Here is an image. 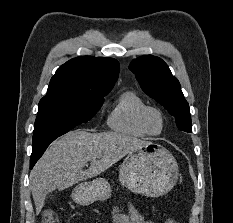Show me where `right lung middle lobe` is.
Here are the masks:
<instances>
[{
  "mask_svg": "<svg viewBox=\"0 0 233 223\" xmlns=\"http://www.w3.org/2000/svg\"><path fill=\"white\" fill-rule=\"evenodd\" d=\"M102 104L103 99L43 97L34 125L32 155L44 152L57 137L89 121Z\"/></svg>",
  "mask_w": 233,
  "mask_h": 223,
  "instance_id": "1",
  "label": "right lung middle lobe"
}]
</instances>
